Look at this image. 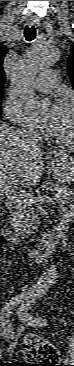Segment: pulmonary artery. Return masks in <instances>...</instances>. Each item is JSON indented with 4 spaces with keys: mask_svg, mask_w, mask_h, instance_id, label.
I'll return each instance as SVG.
<instances>
[{
    "mask_svg": "<svg viewBox=\"0 0 74 366\" xmlns=\"http://www.w3.org/2000/svg\"><path fill=\"white\" fill-rule=\"evenodd\" d=\"M59 81L58 71L48 69L43 71L34 81L33 86L37 91H49L54 89Z\"/></svg>",
    "mask_w": 74,
    "mask_h": 366,
    "instance_id": "1",
    "label": "pulmonary artery"
}]
</instances>
